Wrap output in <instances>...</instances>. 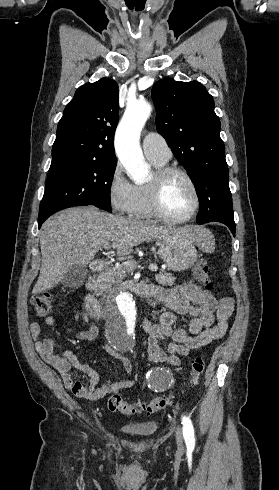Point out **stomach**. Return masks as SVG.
Returning a JSON list of instances; mask_svg holds the SVG:
<instances>
[{"label": "stomach", "mask_w": 279, "mask_h": 490, "mask_svg": "<svg viewBox=\"0 0 279 490\" xmlns=\"http://www.w3.org/2000/svg\"><path fill=\"white\" fill-rule=\"evenodd\" d=\"M161 260L165 262L168 270L172 272H186L197 262V250L194 240L183 238L181 234H169L158 252Z\"/></svg>", "instance_id": "1"}]
</instances>
